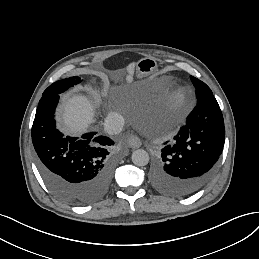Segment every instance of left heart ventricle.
I'll list each match as a JSON object with an SVG mask.
<instances>
[{
  "label": "left heart ventricle",
  "instance_id": "obj_1",
  "mask_svg": "<svg viewBox=\"0 0 259 259\" xmlns=\"http://www.w3.org/2000/svg\"><path fill=\"white\" fill-rule=\"evenodd\" d=\"M155 86H161L165 89L166 102L174 107H181L188 103L189 89L186 85L177 82L156 83Z\"/></svg>",
  "mask_w": 259,
  "mask_h": 259
}]
</instances>
